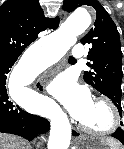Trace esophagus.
Masks as SVG:
<instances>
[{
	"mask_svg": "<svg viewBox=\"0 0 124 149\" xmlns=\"http://www.w3.org/2000/svg\"><path fill=\"white\" fill-rule=\"evenodd\" d=\"M67 16V13L65 11H61L60 12V20L63 21ZM35 87L37 90L39 91H43L45 90V87H44V84L42 83V81H38L36 84H35Z\"/></svg>",
	"mask_w": 124,
	"mask_h": 149,
	"instance_id": "1",
	"label": "esophagus"
}]
</instances>
